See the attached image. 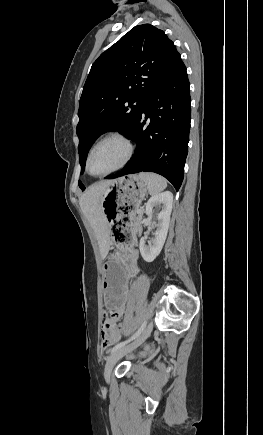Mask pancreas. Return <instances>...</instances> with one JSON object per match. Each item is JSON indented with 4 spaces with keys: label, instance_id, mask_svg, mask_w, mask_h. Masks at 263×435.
<instances>
[{
    "label": "pancreas",
    "instance_id": "cf45deb5",
    "mask_svg": "<svg viewBox=\"0 0 263 435\" xmlns=\"http://www.w3.org/2000/svg\"><path fill=\"white\" fill-rule=\"evenodd\" d=\"M143 215V209H140V212L138 213V210H135L130 214V220L134 224V226H137L139 222L141 221Z\"/></svg>",
    "mask_w": 263,
    "mask_h": 435
}]
</instances>
